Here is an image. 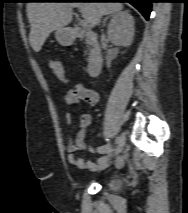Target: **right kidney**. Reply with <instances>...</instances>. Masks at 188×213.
<instances>
[{"instance_id": "ca27d5eb", "label": "right kidney", "mask_w": 188, "mask_h": 213, "mask_svg": "<svg viewBox=\"0 0 188 213\" xmlns=\"http://www.w3.org/2000/svg\"><path fill=\"white\" fill-rule=\"evenodd\" d=\"M107 35L115 45H131L134 37V18L129 11L119 12L113 16L107 28Z\"/></svg>"}]
</instances>
